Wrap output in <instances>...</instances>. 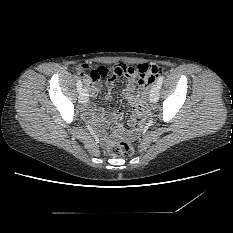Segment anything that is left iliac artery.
I'll list each match as a JSON object with an SVG mask.
<instances>
[{"label": "left iliac artery", "instance_id": "left-iliac-artery-1", "mask_svg": "<svg viewBox=\"0 0 233 233\" xmlns=\"http://www.w3.org/2000/svg\"><path fill=\"white\" fill-rule=\"evenodd\" d=\"M163 78H164L163 76H160L158 81H157V85H158L159 88L161 87V85L163 83Z\"/></svg>", "mask_w": 233, "mask_h": 233}]
</instances>
